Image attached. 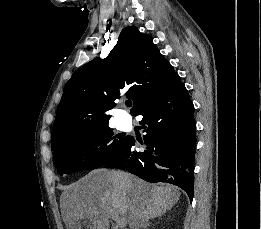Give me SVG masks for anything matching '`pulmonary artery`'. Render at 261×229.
Returning a JSON list of instances; mask_svg holds the SVG:
<instances>
[{"mask_svg":"<svg viewBox=\"0 0 261 229\" xmlns=\"http://www.w3.org/2000/svg\"><path fill=\"white\" fill-rule=\"evenodd\" d=\"M121 114L124 115V114H125V111L121 110Z\"/></svg>","mask_w":261,"mask_h":229,"instance_id":"pulmonary-artery-1","label":"pulmonary artery"}]
</instances>
